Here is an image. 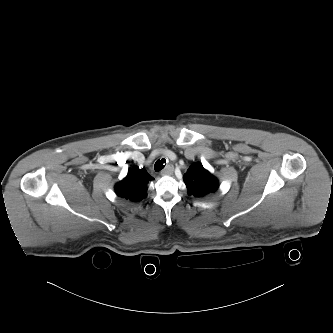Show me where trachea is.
<instances>
[{
    "label": "trachea",
    "mask_w": 333,
    "mask_h": 333,
    "mask_svg": "<svg viewBox=\"0 0 333 333\" xmlns=\"http://www.w3.org/2000/svg\"><path fill=\"white\" fill-rule=\"evenodd\" d=\"M164 163H166V159H164V158H162L161 160H157L154 165L155 171H157V172L161 171L165 167Z\"/></svg>",
    "instance_id": "3493384b"
}]
</instances>
